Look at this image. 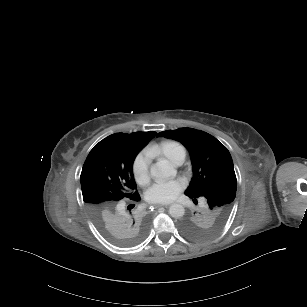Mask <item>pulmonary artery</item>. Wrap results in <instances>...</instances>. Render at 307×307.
Wrapping results in <instances>:
<instances>
[{
    "mask_svg": "<svg viewBox=\"0 0 307 307\" xmlns=\"http://www.w3.org/2000/svg\"><path fill=\"white\" fill-rule=\"evenodd\" d=\"M153 150L155 153H164L165 149L163 147L159 146H153ZM166 156L175 164V165H181L186 157V154L183 152H171L166 154ZM125 203H122V206H124Z\"/></svg>",
    "mask_w": 307,
    "mask_h": 307,
    "instance_id": "pulmonary-artery-1",
    "label": "pulmonary artery"
}]
</instances>
